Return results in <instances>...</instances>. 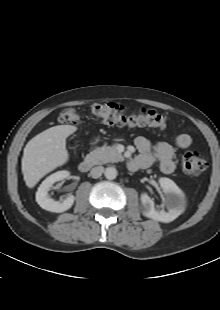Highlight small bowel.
I'll use <instances>...</instances> for the list:
<instances>
[{"instance_id": "c3829d8e", "label": "small bowel", "mask_w": 220, "mask_h": 310, "mask_svg": "<svg viewBox=\"0 0 220 310\" xmlns=\"http://www.w3.org/2000/svg\"><path fill=\"white\" fill-rule=\"evenodd\" d=\"M192 143L190 135L181 133L173 137V143L159 142L152 144L146 137L139 136L135 140L136 147L139 151V156L135 160V164L129 167L131 170L140 168H148L154 163H159L160 169L164 174H171L175 170L173 160L174 149L188 148Z\"/></svg>"}]
</instances>
